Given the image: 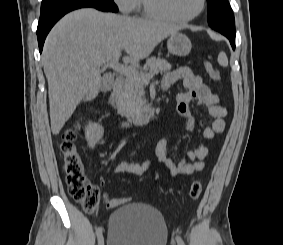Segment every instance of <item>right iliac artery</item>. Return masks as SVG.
I'll return each instance as SVG.
<instances>
[{
	"label": "right iliac artery",
	"instance_id": "obj_1",
	"mask_svg": "<svg viewBox=\"0 0 283 245\" xmlns=\"http://www.w3.org/2000/svg\"><path fill=\"white\" fill-rule=\"evenodd\" d=\"M102 232H103V228L102 227H98L96 229V235H97L98 238L102 235Z\"/></svg>",
	"mask_w": 283,
	"mask_h": 245
}]
</instances>
